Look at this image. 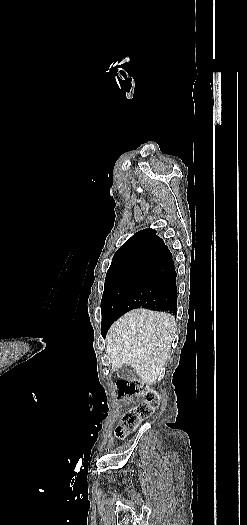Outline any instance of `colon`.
I'll list each match as a JSON object with an SVG mask.
<instances>
[{"label": "colon", "mask_w": 247, "mask_h": 525, "mask_svg": "<svg viewBox=\"0 0 247 525\" xmlns=\"http://www.w3.org/2000/svg\"><path fill=\"white\" fill-rule=\"evenodd\" d=\"M117 395L121 399L137 400L144 397L135 407L129 409L121 424L118 437L123 438L137 428L141 421L151 416L156 404V393L144 382L121 379L116 384Z\"/></svg>", "instance_id": "1"}]
</instances>
